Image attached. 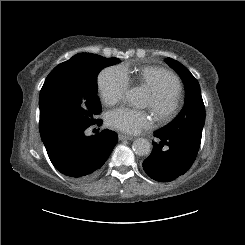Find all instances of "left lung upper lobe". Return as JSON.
<instances>
[{"label":"left lung upper lobe","instance_id":"obj_1","mask_svg":"<svg viewBox=\"0 0 245 245\" xmlns=\"http://www.w3.org/2000/svg\"><path fill=\"white\" fill-rule=\"evenodd\" d=\"M167 64L181 77L186 91L185 105L181 112L160 133L171 137L187 139L200 146L205 122V107L200 86L190 71L178 61L166 58Z\"/></svg>","mask_w":245,"mask_h":245}]
</instances>
